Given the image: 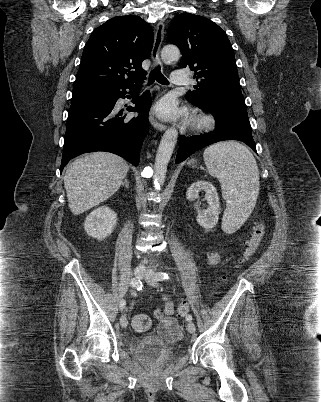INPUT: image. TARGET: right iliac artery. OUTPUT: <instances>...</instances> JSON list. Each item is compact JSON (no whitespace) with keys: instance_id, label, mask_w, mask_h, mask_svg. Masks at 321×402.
<instances>
[{"instance_id":"right-iliac-artery-1","label":"right iliac artery","mask_w":321,"mask_h":402,"mask_svg":"<svg viewBox=\"0 0 321 402\" xmlns=\"http://www.w3.org/2000/svg\"><path fill=\"white\" fill-rule=\"evenodd\" d=\"M130 284L135 290H141L142 289L141 282H139L138 280L132 279ZM135 290L132 291V294H136ZM125 305H126V301L121 300L120 301V309L123 310Z\"/></svg>"}]
</instances>
